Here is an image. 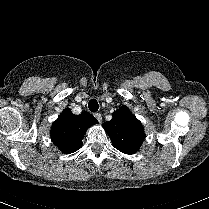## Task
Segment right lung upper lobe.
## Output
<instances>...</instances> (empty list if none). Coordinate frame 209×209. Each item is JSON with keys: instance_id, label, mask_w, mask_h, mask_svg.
<instances>
[{"instance_id": "cb5924a9", "label": "right lung upper lobe", "mask_w": 209, "mask_h": 209, "mask_svg": "<svg viewBox=\"0 0 209 209\" xmlns=\"http://www.w3.org/2000/svg\"><path fill=\"white\" fill-rule=\"evenodd\" d=\"M98 123L89 112L75 115L70 109H65L53 123L51 139L63 153H73L81 148L86 130Z\"/></svg>"}]
</instances>
